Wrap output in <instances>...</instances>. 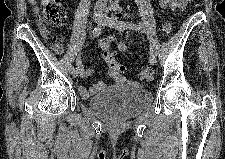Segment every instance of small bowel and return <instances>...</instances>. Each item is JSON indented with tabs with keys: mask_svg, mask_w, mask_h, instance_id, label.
<instances>
[{
	"mask_svg": "<svg viewBox=\"0 0 225 159\" xmlns=\"http://www.w3.org/2000/svg\"><path fill=\"white\" fill-rule=\"evenodd\" d=\"M185 4H186V0H159V5L164 9H181L185 6ZM40 32H41V35L44 38V40L50 45V47L56 53H59V54L62 53L63 46H62V43L60 41H58L54 36H52L49 32H47L42 26L40 27ZM111 41H117V40L113 37H109L107 39L100 40L97 43V46L100 49H103L105 47H109ZM117 47L121 52H127V45L124 42L117 41ZM80 69H81V76L83 78H88L89 76H91L92 72H91L90 69H84L81 65H80ZM108 73L112 78H114L118 81L123 80L122 76L112 75L110 73V71H108ZM103 85L104 84H103L102 81H98L97 83H95L91 87L80 85L78 90H79V92H80V94L83 98H89L95 92L100 90L103 87Z\"/></svg>",
	"mask_w": 225,
	"mask_h": 159,
	"instance_id": "obj_1",
	"label": "small bowel"
}]
</instances>
